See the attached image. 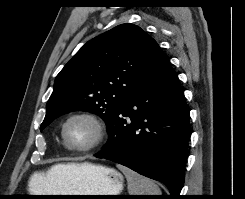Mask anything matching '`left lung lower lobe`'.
<instances>
[{
    "label": "left lung lower lobe",
    "mask_w": 245,
    "mask_h": 199,
    "mask_svg": "<svg viewBox=\"0 0 245 199\" xmlns=\"http://www.w3.org/2000/svg\"><path fill=\"white\" fill-rule=\"evenodd\" d=\"M109 140L94 156L164 183L179 199L184 183L189 108L177 73L163 54L146 80L119 106L107 125Z\"/></svg>",
    "instance_id": "0a47b994"
}]
</instances>
